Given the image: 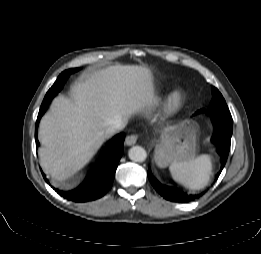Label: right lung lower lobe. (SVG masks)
<instances>
[{
  "label": "right lung lower lobe",
  "mask_w": 261,
  "mask_h": 254,
  "mask_svg": "<svg viewBox=\"0 0 261 254\" xmlns=\"http://www.w3.org/2000/svg\"><path fill=\"white\" fill-rule=\"evenodd\" d=\"M70 73L72 72L66 73L64 71L59 75L56 80L58 83V88L62 89L64 82ZM58 92L47 93L42 102L35 127L36 147L39 146L37 138L39 120L45 113L52 98ZM124 139L125 135L120 133L110 140L93 170L86 177L83 183L80 184L76 189L66 192L56 189L57 193H59L64 198L75 202H86L102 197L112 186L118 162L123 154ZM43 177L45 178L46 182L49 183L44 174Z\"/></svg>",
  "instance_id": "obj_1"
}]
</instances>
